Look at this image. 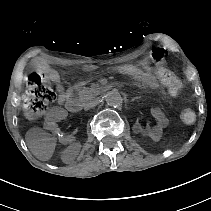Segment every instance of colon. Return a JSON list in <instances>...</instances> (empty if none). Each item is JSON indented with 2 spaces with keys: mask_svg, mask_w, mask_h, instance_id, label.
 <instances>
[{
  "mask_svg": "<svg viewBox=\"0 0 211 211\" xmlns=\"http://www.w3.org/2000/svg\"><path fill=\"white\" fill-rule=\"evenodd\" d=\"M155 73L162 83L171 87L173 92L178 90V82L173 74L166 68L157 67ZM56 94L46 79L38 74L32 73L29 76L28 89L24 97L23 113L27 120L33 121L40 118L54 102ZM196 115L190 108L181 112V119L186 124H192Z\"/></svg>",
  "mask_w": 211,
  "mask_h": 211,
  "instance_id": "obj_1",
  "label": "colon"
}]
</instances>
